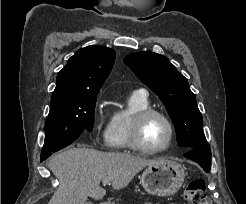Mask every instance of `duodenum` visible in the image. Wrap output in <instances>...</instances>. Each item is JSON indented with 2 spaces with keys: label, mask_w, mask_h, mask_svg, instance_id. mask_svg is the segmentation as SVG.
Here are the masks:
<instances>
[{
  "label": "duodenum",
  "mask_w": 246,
  "mask_h": 204,
  "mask_svg": "<svg viewBox=\"0 0 246 204\" xmlns=\"http://www.w3.org/2000/svg\"><path fill=\"white\" fill-rule=\"evenodd\" d=\"M101 204H109V203L104 202V203H101Z\"/></svg>",
  "instance_id": "obj_1"
}]
</instances>
